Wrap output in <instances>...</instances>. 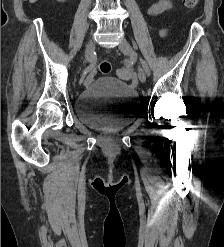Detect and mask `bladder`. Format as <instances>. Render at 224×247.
<instances>
[{
  "label": "bladder",
  "instance_id": "bladder-1",
  "mask_svg": "<svg viewBox=\"0 0 224 247\" xmlns=\"http://www.w3.org/2000/svg\"><path fill=\"white\" fill-rule=\"evenodd\" d=\"M138 93L112 77H100L76 100L77 117L87 126L116 132L133 122L139 110Z\"/></svg>",
  "mask_w": 224,
  "mask_h": 247
}]
</instances>
